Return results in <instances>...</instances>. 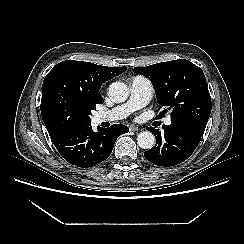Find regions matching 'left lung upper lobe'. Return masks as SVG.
I'll list each match as a JSON object with an SVG mask.
<instances>
[{
    "mask_svg": "<svg viewBox=\"0 0 244 244\" xmlns=\"http://www.w3.org/2000/svg\"><path fill=\"white\" fill-rule=\"evenodd\" d=\"M133 71L152 82L158 103L170 111L171 123L204 131L211 112V97L201 68L188 60L178 59ZM168 110L165 109L161 116Z\"/></svg>",
    "mask_w": 244,
    "mask_h": 244,
    "instance_id": "left-lung-upper-lobe-1",
    "label": "left lung upper lobe"
}]
</instances>
